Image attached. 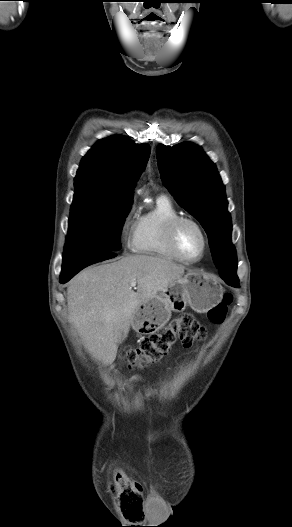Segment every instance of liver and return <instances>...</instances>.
Masks as SVG:
<instances>
[{"label": "liver", "instance_id": "1", "mask_svg": "<svg viewBox=\"0 0 292 527\" xmlns=\"http://www.w3.org/2000/svg\"><path fill=\"white\" fill-rule=\"evenodd\" d=\"M184 271L183 265L148 255H129L90 267L69 282L68 320L87 351L104 365L112 364L118 338L127 337L137 307L182 277ZM132 281L137 283L136 292Z\"/></svg>", "mask_w": 292, "mask_h": 527}]
</instances>
